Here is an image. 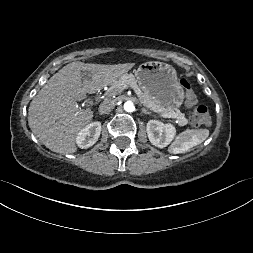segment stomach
I'll return each instance as SVG.
<instances>
[{
  "label": "stomach",
  "mask_w": 253,
  "mask_h": 253,
  "mask_svg": "<svg viewBox=\"0 0 253 253\" xmlns=\"http://www.w3.org/2000/svg\"><path fill=\"white\" fill-rule=\"evenodd\" d=\"M139 87L168 111H177L185 93L173 66L158 61L143 63L135 71Z\"/></svg>",
  "instance_id": "stomach-1"
}]
</instances>
